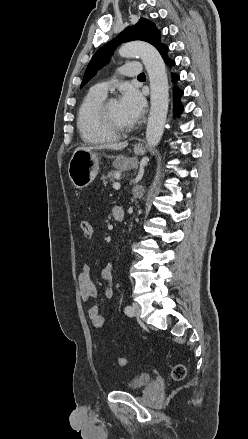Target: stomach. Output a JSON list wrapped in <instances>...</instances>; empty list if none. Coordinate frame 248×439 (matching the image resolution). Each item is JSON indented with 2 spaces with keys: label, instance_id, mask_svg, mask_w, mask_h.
<instances>
[{
  "label": "stomach",
  "instance_id": "1",
  "mask_svg": "<svg viewBox=\"0 0 248 439\" xmlns=\"http://www.w3.org/2000/svg\"><path fill=\"white\" fill-rule=\"evenodd\" d=\"M137 155H143L144 147L138 145L134 148ZM125 168L121 166L120 169ZM99 169V154L93 150H76L68 165V175L72 184L83 189L87 187L97 176Z\"/></svg>",
  "mask_w": 248,
  "mask_h": 439
}]
</instances>
